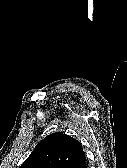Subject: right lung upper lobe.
I'll return each mask as SVG.
<instances>
[{
  "label": "right lung upper lobe",
  "instance_id": "obj_1",
  "mask_svg": "<svg viewBox=\"0 0 127 168\" xmlns=\"http://www.w3.org/2000/svg\"><path fill=\"white\" fill-rule=\"evenodd\" d=\"M85 160L78 140L56 132L41 140L20 168H79Z\"/></svg>",
  "mask_w": 127,
  "mask_h": 168
}]
</instances>
